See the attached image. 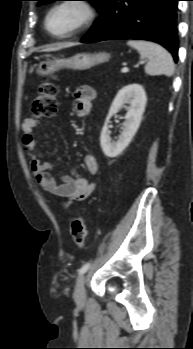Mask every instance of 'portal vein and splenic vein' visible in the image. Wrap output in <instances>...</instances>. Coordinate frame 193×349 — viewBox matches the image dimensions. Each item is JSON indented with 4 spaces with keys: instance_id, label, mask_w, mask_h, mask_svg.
Segmentation results:
<instances>
[{
    "instance_id": "portal-vein-and-splenic-vein-1",
    "label": "portal vein and splenic vein",
    "mask_w": 193,
    "mask_h": 349,
    "mask_svg": "<svg viewBox=\"0 0 193 349\" xmlns=\"http://www.w3.org/2000/svg\"><path fill=\"white\" fill-rule=\"evenodd\" d=\"M144 61H142L141 63H143ZM129 71V69L127 68V67H123L122 69H121V72L122 73H126V72H128Z\"/></svg>"
}]
</instances>
